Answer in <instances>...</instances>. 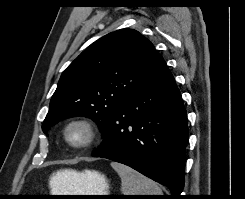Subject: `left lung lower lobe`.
Listing matches in <instances>:
<instances>
[{"label": "left lung lower lobe", "instance_id": "0a47b994", "mask_svg": "<svg viewBox=\"0 0 245 199\" xmlns=\"http://www.w3.org/2000/svg\"><path fill=\"white\" fill-rule=\"evenodd\" d=\"M94 157L107 158L167 186L184 187L187 114L175 79L162 60L150 79L110 115Z\"/></svg>", "mask_w": 245, "mask_h": 199}]
</instances>
